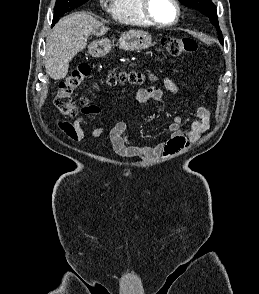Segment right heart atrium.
<instances>
[{
	"label": "right heart atrium",
	"instance_id": "obj_1",
	"mask_svg": "<svg viewBox=\"0 0 259 294\" xmlns=\"http://www.w3.org/2000/svg\"><path fill=\"white\" fill-rule=\"evenodd\" d=\"M109 0H100L102 6L106 7Z\"/></svg>",
	"mask_w": 259,
	"mask_h": 294
}]
</instances>
